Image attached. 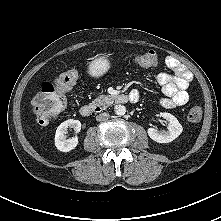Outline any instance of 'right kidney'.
Segmentation results:
<instances>
[{
    "label": "right kidney",
    "mask_w": 221,
    "mask_h": 221,
    "mask_svg": "<svg viewBox=\"0 0 221 221\" xmlns=\"http://www.w3.org/2000/svg\"><path fill=\"white\" fill-rule=\"evenodd\" d=\"M68 128H73L77 133L81 130V122L79 120L69 119L61 123L55 134V146L62 152H69L78 145V137L67 139L66 133Z\"/></svg>",
    "instance_id": "right-kidney-1"
}]
</instances>
